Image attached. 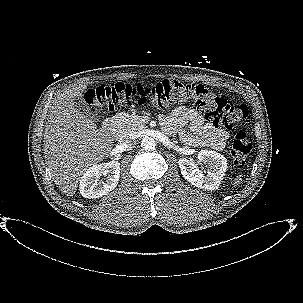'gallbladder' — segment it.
I'll return each instance as SVG.
<instances>
[{
	"label": "gallbladder",
	"instance_id": "gallbladder-1",
	"mask_svg": "<svg viewBox=\"0 0 303 303\" xmlns=\"http://www.w3.org/2000/svg\"><path fill=\"white\" fill-rule=\"evenodd\" d=\"M75 107L82 115L88 117L89 119L93 121L98 120L97 114L91 111L90 107L82 96L75 98Z\"/></svg>",
	"mask_w": 303,
	"mask_h": 303
}]
</instances>
